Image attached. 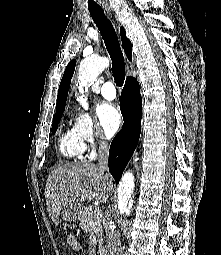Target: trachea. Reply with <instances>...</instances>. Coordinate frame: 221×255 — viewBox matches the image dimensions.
I'll use <instances>...</instances> for the list:
<instances>
[{"instance_id":"obj_1","label":"trachea","mask_w":221,"mask_h":255,"mask_svg":"<svg viewBox=\"0 0 221 255\" xmlns=\"http://www.w3.org/2000/svg\"><path fill=\"white\" fill-rule=\"evenodd\" d=\"M89 12L102 35L106 49L111 57L112 74L115 83L118 87H121L125 79V62L116 31L105 16L103 9L89 8Z\"/></svg>"}]
</instances>
